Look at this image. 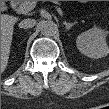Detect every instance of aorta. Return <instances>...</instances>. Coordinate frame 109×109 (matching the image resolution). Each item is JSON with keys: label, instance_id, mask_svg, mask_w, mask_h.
<instances>
[{"label": "aorta", "instance_id": "aorta-1", "mask_svg": "<svg viewBox=\"0 0 109 109\" xmlns=\"http://www.w3.org/2000/svg\"><path fill=\"white\" fill-rule=\"evenodd\" d=\"M40 31L44 36H53L57 33L58 27L53 21H42Z\"/></svg>", "mask_w": 109, "mask_h": 109}]
</instances>
